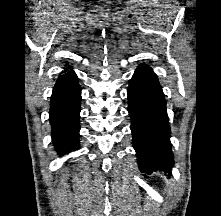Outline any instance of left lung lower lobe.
Returning <instances> with one entry per match:
<instances>
[{"label":"left lung lower lobe","instance_id":"0a47b994","mask_svg":"<svg viewBox=\"0 0 221 216\" xmlns=\"http://www.w3.org/2000/svg\"><path fill=\"white\" fill-rule=\"evenodd\" d=\"M133 147L139 168L148 173L170 171L174 165L166 101L153 70L140 64L128 87Z\"/></svg>","mask_w":221,"mask_h":216}]
</instances>
